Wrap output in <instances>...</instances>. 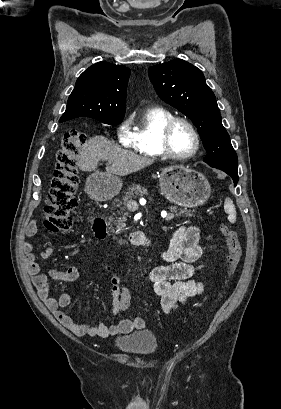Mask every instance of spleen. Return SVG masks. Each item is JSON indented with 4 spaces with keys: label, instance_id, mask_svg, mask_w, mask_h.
I'll use <instances>...</instances> for the list:
<instances>
[{
    "label": "spleen",
    "instance_id": "obj_1",
    "mask_svg": "<svg viewBox=\"0 0 281 409\" xmlns=\"http://www.w3.org/2000/svg\"><path fill=\"white\" fill-rule=\"evenodd\" d=\"M224 211L228 215V217H227L228 221H230V223H235V221H236V209H235V205H233V200H231V198H229V196H227V198H225Z\"/></svg>",
    "mask_w": 281,
    "mask_h": 409
}]
</instances>
